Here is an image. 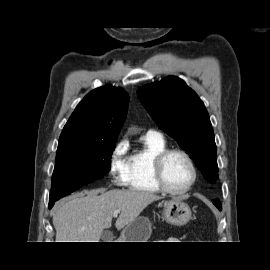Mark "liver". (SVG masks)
<instances>
[{"label": "liver", "mask_w": 270, "mask_h": 270, "mask_svg": "<svg viewBox=\"0 0 270 270\" xmlns=\"http://www.w3.org/2000/svg\"><path fill=\"white\" fill-rule=\"evenodd\" d=\"M160 199L153 193L134 189L93 190L74 195L53 215L56 242H99L103 230L111 227L114 211H120L115 223L120 230Z\"/></svg>", "instance_id": "obj_1"}]
</instances>
